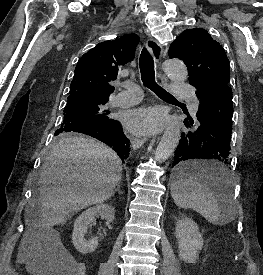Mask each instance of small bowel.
<instances>
[{
    "instance_id": "obj_1",
    "label": "small bowel",
    "mask_w": 263,
    "mask_h": 275,
    "mask_svg": "<svg viewBox=\"0 0 263 275\" xmlns=\"http://www.w3.org/2000/svg\"><path fill=\"white\" fill-rule=\"evenodd\" d=\"M34 270H36V271H40L41 269H40V268H38V267H35V268H34Z\"/></svg>"
}]
</instances>
